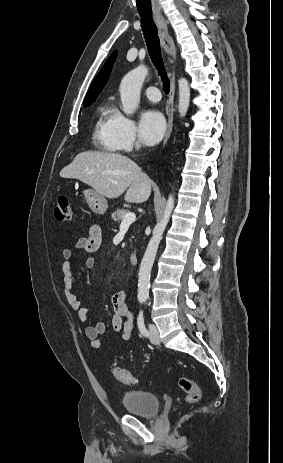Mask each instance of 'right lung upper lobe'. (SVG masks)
Segmentation results:
<instances>
[{"instance_id": "cb5924a9", "label": "right lung upper lobe", "mask_w": 283, "mask_h": 463, "mask_svg": "<svg viewBox=\"0 0 283 463\" xmlns=\"http://www.w3.org/2000/svg\"><path fill=\"white\" fill-rule=\"evenodd\" d=\"M116 56H117V51H114L111 54V56L108 58V60L106 61V63L104 64V66L102 67L98 75L96 76V78L93 80L91 87L85 97L84 105H91L92 102L95 101L98 94L103 89L104 85L106 84L109 78V75H110Z\"/></svg>"}]
</instances>
